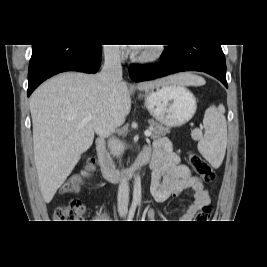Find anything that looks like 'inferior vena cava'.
<instances>
[{"label":"inferior vena cava","mask_w":267,"mask_h":267,"mask_svg":"<svg viewBox=\"0 0 267 267\" xmlns=\"http://www.w3.org/2000/svg\"><path fill=\"white\" fill-rule=\"evenodd\" d=\"M120 50L117 47H109L105 49V62L104 66L99 74V78L106 84L113 86L122 80V66L120 60ZM108 146L111 152L115 155H119L123 151L122 143L115 138L108 140ZM129 183L125 178L120 180L118 187V210L120 212H126L129 203Z\"/></svg>","instance_id":"1"}]
</instances>
